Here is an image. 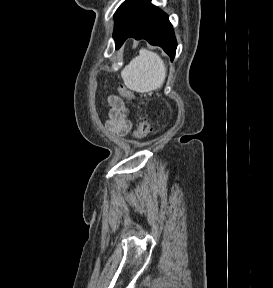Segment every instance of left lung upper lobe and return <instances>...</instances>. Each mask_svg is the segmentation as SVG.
I'll return each instance as SVG.
<instances>
[{
	"label": "left lung upper lobe",
	"mask_w": 273,
	"mask_h": 288,
	"mask_svg": "<svg viewBox=\"0 0 273 288\" xmlns=\"http://www.w3.org/2000/svg\"><path fill=\"white\" fill-rule=\"evenodd\" d=\"M131 2V0H125L117 9V11L114 14V18H115V28H114V32L116 30L117 24L122 16V14L124 13L126 7L128 6V4Z\"/></svg>",
	"instance_id": "1"
}]
</instances>
